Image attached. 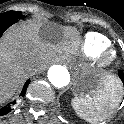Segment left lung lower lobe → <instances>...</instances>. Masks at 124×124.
<instances>
[{
	"mask_svg": "<svg viewBox=\"0 0 124 124\" xmlns=\"http://www.w3.org/2000/svg\"><path fill=\"white\" fill-rule=\"evenodd\" d=\"M118 75H119V78L121 79V81L123 82V85H124V74L121 70L118 71Z\"/></svg>",
	"mask_w": 124,
	"mask_h": 124,
	"instance_id": "obj_1",
	"label": "left lung lower lobe"
}]
</instances>
